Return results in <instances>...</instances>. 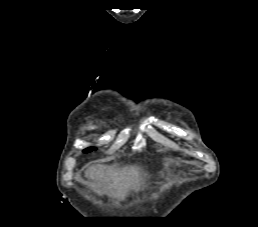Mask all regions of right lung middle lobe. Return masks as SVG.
Listing matches in <instances>:
<instances>
[{"mask_svg": "<svg viewBox=\"0 0 258 227\" xmlns=\"http://www.w3.org/2000/svg\"><path fill=\"white\" fill-rule=\"evenodd\" d=\"M92 150H96V148H95V147L87 148V149L84 150V152L87 153V152H90V151H92Z\"/></svg>", "mask_w": 258, "mask_h": 227, "instance_id": "1", "label": "right lung middle lobe"}]
</instances>
